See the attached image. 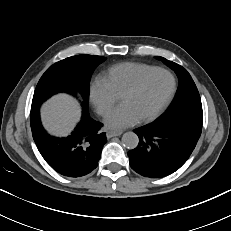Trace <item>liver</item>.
Segmentation results:
<instances>
[{"label": "liver", "instance_id": "obj_1", "mask_svg": "<svg viewBox=\"0 0 231 231\" xmlns=\"http://www.w3.org/2000/svg\"><path fill=\"white\" fill-rule=\"evenodd\" d=\"M81 110L78 102L66 94H59L47 101L41 109L44 127L56 136H66L79 121Z\"/></svg>", "mask_w": 231, "mask_h": 231}]
</instances>
